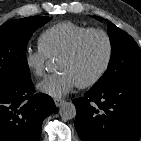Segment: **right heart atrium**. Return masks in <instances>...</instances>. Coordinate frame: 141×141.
Wrapping results in <instances>:
<instances>
[{"instance_id":"1","label":"right heart atrium","mask_w":141,"mask_h":141,"mask_svg":"<svg viewBox=\"0 0 141 141\" xmlns=\"http://www.w3.org/2000/svg\"><path fill=\"white\" fill-rule=\"evenodd\" d=\"M50 57L46 51L38 45L37 47H27L24 52V63L27 70L35 77H41Z\"/></svg>"}]
</instances>
